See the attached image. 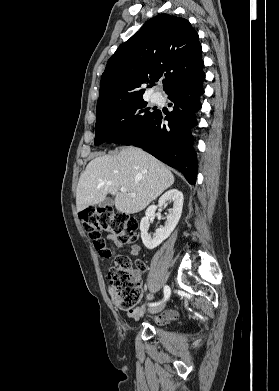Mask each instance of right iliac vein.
Returning <instances> with one entry per match:
<instances>
[{
    "label": "right iliac vein",
    "mask_w": 279,
    "mask_h": 391,
    "mask_svg": "<svg viewBox=\"0 0 279 391\" xmlns=\"http://www.w3.org/2000/svg\"><path fill=\"white\" fill-rule=\"evenodd\" d=\"M164 306H165V304H160V305H158V306H155V307H153V308H150V309H149V312L152 313V314L158 313V312H160V311L163 310Z\"/></svg>",
    "instance_id": "obj_1"
}]
</instances>
